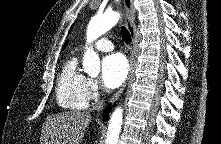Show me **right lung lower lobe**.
<instances>
[{
  "label": "right lung lower lobe",
  "mask_w": 221,
  "mask_h": 144,
  "mask_svg": "<svg viewBox=\"0 0 221 144\" xmlns=\"http://www.w3.org/2000/svg\"><path fill=\"white\" fill-rule=\"evenodd\" d=\"M109 109H110V105L106 108V110H105V112H104L103 118H104L105 120L108 118Z\"/></svg>",
  "instance_id": "obj_1"
}]
</instances>
